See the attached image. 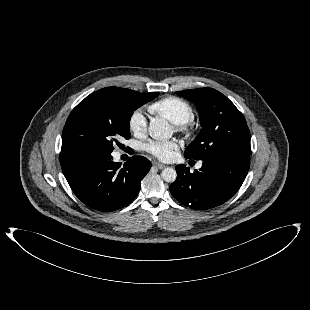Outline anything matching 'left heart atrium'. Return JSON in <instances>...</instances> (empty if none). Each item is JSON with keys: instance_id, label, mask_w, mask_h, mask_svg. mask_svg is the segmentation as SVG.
<instances>
[{"instance_id": "left-heart-atrium-1", "label": "left heart atrium", "mask_w": 310, "mask_h": 310, "mask_svg": "<svg viewBox=\"0 0 310 310\" xmlns=\"http://www.w3.org/2000/svg\"><path fill=\"white\" fill-rule=\"evenodd\" d=\"M146 152L152 154L162 161H168L173 158L178 149L177 142L173 140H151L145 144Z\"/></svg>"}]
</instances>
